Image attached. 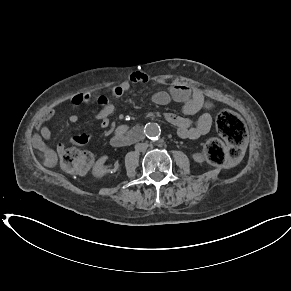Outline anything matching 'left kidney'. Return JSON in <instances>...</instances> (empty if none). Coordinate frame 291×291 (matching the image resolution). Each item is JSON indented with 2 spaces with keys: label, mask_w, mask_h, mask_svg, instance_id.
Returning <instances> with one entry per match:
<instances>
[{
  "label": "left kidney",
  "mask_w": 291,
  "mask_h": 291,
  "mask_svg": "<svg viewBox=\"0 0 291 291\" xmlns=\"http://www.w3.org/2000/svg\"><path fill=\"white\" fill-rule=\"evenodd\" d=\"M193 158L198 163H202L204 161V158L202 157V155L200 153H195L193 155Z\"/></svg>",
  "instance_id": "1"
}]
</instances>
